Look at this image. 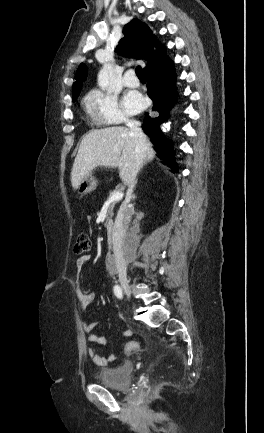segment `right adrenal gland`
<instances>
[{"label":"right adrenal gland","mask_w":264,"mask_h":433,"mask_svg":"<svg viewBox=\"0 0 264 433\" xmlns=\"http://www.w3.org/2000/svg\"><path fill=\"white\" fill-rule=\"evenodd\" d=\"M137 184V180L135 181V185Z\"/></svg>","instance_id":"1"}]
</instances>
